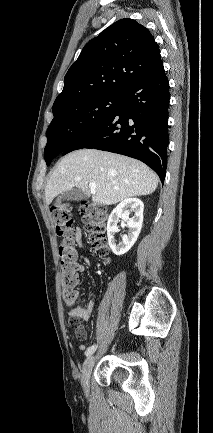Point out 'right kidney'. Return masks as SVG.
<instances>
[{"label":"right kidney","mask_w":213,"mask_h":433,"mask_svg":"<svg viewBox=\"0 0 213 433\" xmlns=\"http://www.w3.org/2000/svg\"><path fill=\"white\" fill-rule=\"evenodd\" d=\"M144 204L138 198H127L120 202L111 212L107 222L108 243L115 255L127 253L136 242L143 223ZM134 212L133 218L129 214ZM121 218L129 228L128 234L122 236V242L116 244L115 233L119 231L117 222Z\"/></svg>","instance_id":"right-kidney-1"}]
</instances>
